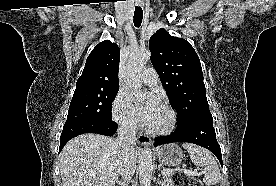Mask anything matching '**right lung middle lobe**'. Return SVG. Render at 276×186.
Returning a JSON list of instances; mask_svg holds the SVG:
<instances>
[{"instance_id": "obj_1", "label": "right lung middle lobe", "mask_w": 276, "mask_h": 186, "mask_svg": "<svg viewBox=\"0 0 276 186\" xmlns=\"http://www.w3.org/2000/svg\"><path fill=\"white\" fill-rule=\"evenodd\" d=\"M119 87L75 89L66 122L76 120H111V102Z\"/></svg>"}]
</instances>
